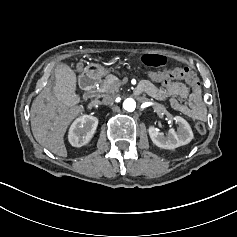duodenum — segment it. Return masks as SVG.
Wrapping results in <instances>:
<instances>
[{
  "label": "duodenum",
  "instance_id": "410a0bca",
  "mask_svg": "<svg viewBox=\"0 0 237 237\" xmlns=\"http://www.w3.org/2000/svg\"><path fill=\"white\" fill-rule=\"evenodd\" d=\"M100 79V71L96 66L87 67L79 77L81 88L86 91H92Z\"/></svg>",
  "mask_w": 237,
  "mask_h": 237
}]
</instances>
